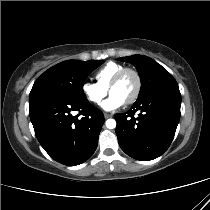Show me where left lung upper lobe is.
Wrapping results in <instances>:
<instances>
[{"label":"left lung upper lobe","mask_w":210,"mask_h":210,"mask_svg":"<svg viewBox=\"0 0 210 210\" xmlns=\"http://www.w3.org/2000/svg\"><path fill=\"white\" fill-rule=\"evenodd\" d=\"M120 60L133 64L141 79V89L137 100L167 88H178L173 76L153 59L143 55L122 57Z\"/></svg>","instance_id":"5c2ea615"}]
</instances>
